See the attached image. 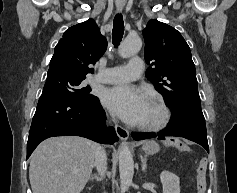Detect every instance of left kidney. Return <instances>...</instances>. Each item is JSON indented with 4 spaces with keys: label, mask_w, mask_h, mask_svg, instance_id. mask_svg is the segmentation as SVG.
I'll return each instance as SVG.
<instances>
[{
    "label": "left kidney",
    "mask_w": 237,
    "mask_h": 193,
    "mask_svg": "<svg viewBox=\"0 0 237 193\" xmlns=\"http://www.w3.org/2000/svg\"><path fill=\"white\" fill-rule=\"evenodd\" d=\"M163 193H180L179 177L169 171L160 174Z\"/></svg>",
    "instance_id": "5707ae66"
}]
</instances>
